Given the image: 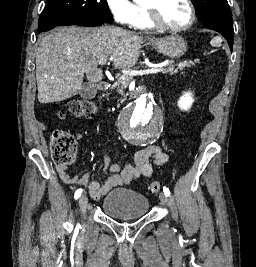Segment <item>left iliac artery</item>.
I'll use <instances>...</instances> for the list:
<instances>
[{
	"label": "left iliac artery",
	"instance_id": "left-iliac-artery-1",
	"mask_svg": "<svg viewBox=\"0 0 256 267\" xmlns=\"http://www.w3.org/2000/svg\"><path fill=\"white\" fill-rule=\"evenodd\" d=\"M163 192L166 196H170V190L166 188L165 186L163 187Z\"/></svg>",
	"mask_w": 256,
	"mask_h": 267
}]
</instances>
